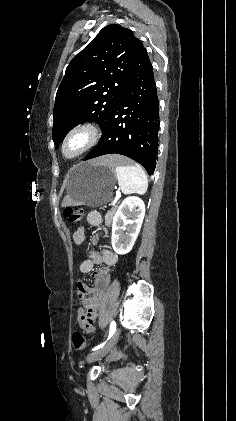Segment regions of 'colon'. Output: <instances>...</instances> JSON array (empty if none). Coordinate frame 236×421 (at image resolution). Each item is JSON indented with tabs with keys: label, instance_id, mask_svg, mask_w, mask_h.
I'll list each match as a JSON object with an SVG mask.
<instances>
[{
	"label": "colon",
	"instance_id": "5ec220e1",
	"mask_svg": "<svg viewBox=\"0 0 236 421\" xmlns=\"http://www.w3.org/2000/svg\"><path fill=\"white\" fill-rule=\"evenodd\" d=\"M83 215L84 211L81 207H66L64 210V216L73 223L80 222ZM80 323H85V320H80ZM72 343L74 348L77 350H84L87 348V341L80 332H74L72 335Z\"/></svg>",
	"mask_w": 236,
	"mask_h": 421
}]
</instances>
